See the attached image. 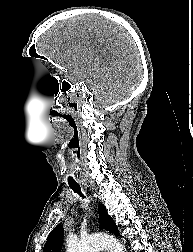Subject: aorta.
I'll use <instances>...</instances> for the list:
<instances>
[{"label": "aorta", "mask_w": 193, "mask_h": 252, "mask_svg": "<svg viewBox=\"0 0 193 252\" xmlns=\"http://www.w3.org/2000/svg\"><path fill=\"white\" fill-rule=\"evenodd\" d=\"M108 252H123V244L113 236L96 234L79 241L69 240L67 252H99L101 249Z\"/></svg>", "instance_id": "obj_1"}]
</instances>
